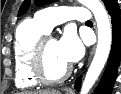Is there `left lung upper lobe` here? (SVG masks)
Segmentation results:
<instances>
[{
  "instance_id": "obj_1",
  "label": "left lung upper lobe",
  "mask_w": 121,
  "mask_h": 94,
  "mask_svg": "<svg viewBox=\"0 0 121 94\" xmlns=\"http://www.w3.org/2000/svg\"><path fill=\"white\" fill-rule=\"evenodd\" d=\"M55 1L56 0H34V4L36 6H42ZM102 1L105 4L107 10H109L112 6L117 4V0H102ZM30 4H31V0H24V2L22 3L19 9L18 15H22L23 13H25L28 10V7L30 6Z\"/></svg>"
}]
</instances>
